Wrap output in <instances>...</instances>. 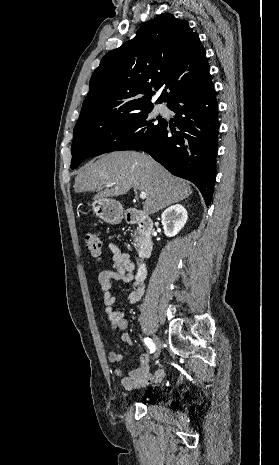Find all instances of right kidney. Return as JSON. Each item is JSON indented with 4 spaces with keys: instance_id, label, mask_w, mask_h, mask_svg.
Listing matches in <instances>:
<instances>
[{
    "instance_id": "obj_1",
    "label": "right kidney",
    "mask_w": 279,
    "mask_h": 465,
    "mask_svg": "<svg viewBox=\"0 0 279 465\" xmlns=\"http://www.w3.org/2000/svg\"><path fill=\"white\" fill-rule=\"evenodd\" d=\"M188 213L181 204L168 207L161 215L164 233L168 237H174L185 226Z\"/></svg>"
}]
</instances>
